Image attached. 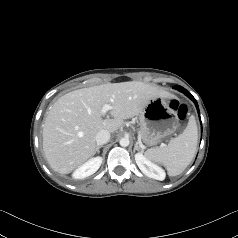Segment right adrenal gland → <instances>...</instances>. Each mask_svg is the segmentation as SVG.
Instances as JSON below:
<instances>
[{
	"label": "right adrenal gland",
	"mask_w": 238,
	"mask_h": 238,
	"mask_svg": "<svg viewBox=\"0 0 238 238\" xmlns=\"http://www.w3.org/2000/svg\"><path fill=\"white\" fill-rule=\"evenodd\" d=\"M102 147V145H100V146H97V148H96V152L99 154L100 153V151H99V149Z\"/></svg>",
	"instance_id": "1"
}]
</instances>
